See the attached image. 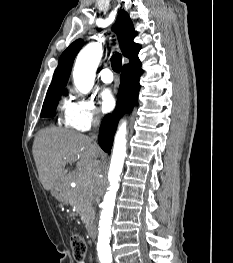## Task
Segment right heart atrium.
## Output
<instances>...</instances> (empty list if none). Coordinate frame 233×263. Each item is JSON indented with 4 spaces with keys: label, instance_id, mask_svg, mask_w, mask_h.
I'll return each instance as SVG.
<instances>
[{
    "label": "right heart atrium",
    "instance_id": "right-heart-atrium-1",
    "mask_svg": "<svg viewBox=\"0 0 233 263\" xmlns=\"http://www.w3.org/2000/svg\"><path fill=\"white\" fill-rule=\"evenodd\" d=\"M99 122L100 115L92 99H78L72 103L68 116V127L84 132Z\"/></svg>",
    "mask_w": 233,
    "mask_h": 263
}]
</instances>
